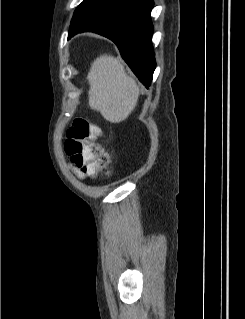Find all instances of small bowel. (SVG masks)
<instances>
[{
    "instance_id": "obj_1",
    "label": "small bowel",
    "mask_w": 245,
    "mask_h": 319,
    "mask_svg": "<svg viewBox=\"0 0 245 319\" xmlns=\"http://www.w3.org/2000/svg\"><path fill=\"white\" fill-rule=\"evenodd\" d=\"M72 170L74 171V173L78 176V177H83L84 174L77 168L73 167Z\"/></svg>"
}]
</instances>
